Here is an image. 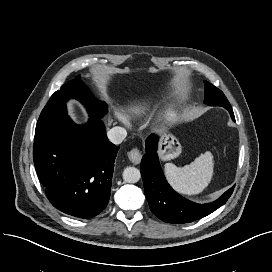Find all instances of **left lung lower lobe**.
Returning a JSON list of instances; mask_svg holds the SVG:
<instances>
[{
	"instance_id": "0a47b994",
	"label": "left lung lower lobe",
	"mask_w": 272,
	"mask_h": 272,
	"mask_svg": "<svg viewBox=\"0 0 272 272\" xmlns=\"http://www.w3.org/2000/svg\"><path fill=\"white\" fill-rule=\"evenodd\" d=\"M232 120V109H228ZM158 136L150 135L145 144L146 154L141 161L144 191L151 211L162 221L182 224L201 219L221 207L231 196L234 186L219 199L208 204L191 202L176 193L167 183L157 155Z\"/></svg>"
}]
</instances>
